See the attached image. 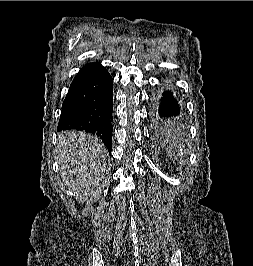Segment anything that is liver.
<instances>
[{
    "label": "liver",
    "instance_id": "1",
    "mask_svg": "<svg viewBox=\"0 0 253 266\" xmlns=\"http://www.w3.org/2000/svg\"><path fill=\"white\" fill-rule=\"evenodd\" d=\"M57 150L60 169L67 170L65 185L75 191L78 201L83 203L99 187L107 151L98 137L77 131L61 133Z\"/></svg>",
    "mask_w": 253,
    "mask_h": 266
}]
</instances>
